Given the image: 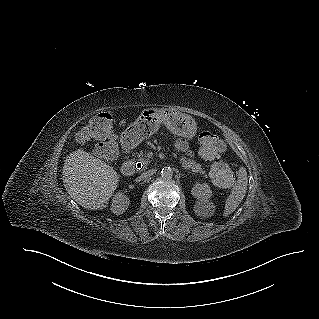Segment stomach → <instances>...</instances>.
Instances as JSON below:
<instances>
[{"instance_id":"1","label":"stomach","mask_w":319,"mask_h":319,"mask_svg":"<svg viewBox=\"0 0 319 319\" xmlns=\"http://www.w3.org/2000/svg\"><path fill=\"white\" fill-rule=\"evenodd\" d=\"M164 125L173 134L188 140L193 139L197 131L195 120L187 114L171 108H150L137 113L125 134L131 136L138 143L145 137L157 132Z\"/></svg>"}]
</instances>
